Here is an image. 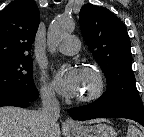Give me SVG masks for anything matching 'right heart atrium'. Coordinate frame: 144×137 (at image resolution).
Returning a JSON list of instances; mask_svg holds the SVG:
<instances>
[{
    "label": "right heart atrium",
    "mask_w": 144,
    "mask_h": 137,
    "mask_svg": "<svg viewBox=\"0 0 144 137\" xmlns=\"http://www.w3.org/2000/svg\"><path fill=\"white\" fill-rule=\"evenodd\" d=\"M41 96L47 103H54L56 101V95L53 85L47 80L45 73H41Z\"/></svg>",
    "instance_id": "1"
}]
</instances>
